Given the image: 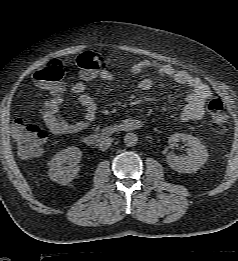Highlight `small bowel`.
<instances>
[{
	"label": "small bowel",
	"mask_w": 238,
	"mask_h": 261,
	"mask_svg": "<svg viewBox=\"0 0 238 261\" xmlns=\"http://www.w3.org/2000/svg\"><path fill=\"white\" fill-rule=\"evenodd\" d=\"M147 69H155L161 77H168L175 83L190 88L191 91L187 96L186 104L180 114L175 118V121L191 122L203 117L204 107L211 97V91L200 78L169 64L148 59L135 63L131 67V72L138 74ZM94 78L111 81L114 75L109 69L102 68L94 74H83L82 80L72 85L71 92L77 96L78 103L84 107L82 119L69 122L61 116V108L64 102L62 92L53 93L52 98L44 103L41 109V116L44 124L53 134L64 135L78 133L88 128L95 120L97 106L94 100L85 93L86 82ZM138 86L141 90L148 91L153 86V79L144 77L140 80ZM125 121L135 124L136 128L142 125V122L137 119H127Z\"/></svg>",
	"instance_id": "small-bowel-1"
}]
</instances>
